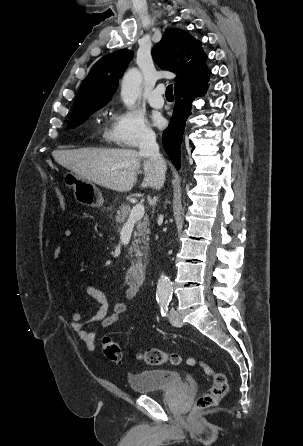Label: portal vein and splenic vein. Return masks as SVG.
<instances>
[{
	"label": "portal vein and splenic vein",
	"instance_id": "portal-vein-and-splenic-vein-1",
	"mask_svg": "<svg viewBox=\"0 0 303 446\" xmlns=\"http://www.w3.org/2000/svg\"><path fill=\"white\" fill-rule=\"evenodd\" d=\"M144 213H145L144 205L142 203L136 204L133 207L126 224H130V223H133V222H136V221L142 219L144 216Z\"/></svg>",
	"mask_w": 303,
	"mask_h": 446
}]
</instances>
